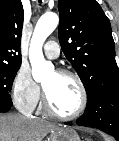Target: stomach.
Wrapping results in <instances>:
<instances>
[{"label":"stomach","mask_w":119,"mask_h":141,"mask_svg":"<svg viewBox=\"0 0 119 141\" xmlns=\"http://www.w3.org/2000/svg\"><path fill=\"white\" fill-rule=\"evenodd\" d=\"M49 141H81L77 132L72 128H58L51 132Z\"/></svg>","instance_id":"0dacf381"}]
</instances>
